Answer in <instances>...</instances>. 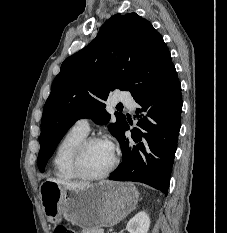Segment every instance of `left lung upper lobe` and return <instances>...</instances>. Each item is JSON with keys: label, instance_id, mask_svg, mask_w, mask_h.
<instances>
[{"label": "left lung upper lobe", "instance_id": "obj_1", "mask_svg": "<svg viewBox=\"0 0 227 233\" xmlns=\"http://www.w3.org/2000/svg\"><path fill=\"white\" fill-rule=\"evenodd\" d=\"M173 65L162 36L136 13L112 16L96 38L68 57L52 83L41 120L39 170L54 153L66 131L81 118L108 124L105 101L118 88L133 97L154 86ZM117 121L108 128L117 139L126 117L115 113Z\"/></svg>", "mask_w": 227, "mask_h": 233}]
</instances>
